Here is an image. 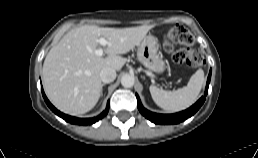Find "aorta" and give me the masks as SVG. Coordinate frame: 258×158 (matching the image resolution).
I'll return each mask as SVG.
<instances>
[{
    "label": "aorta",
    "mask_w": 258,
    "mask_h": 158,
    "mask_svg": "<svg viewBox=\"0 0 258 158\" xmlns=\"http://www.w3.org/2000/svg\"><path fill=\"white\" fill-rule=\"evenodd\" d=\"M134 83H135V79L132 75L125 74L121 78V84L125 88L133 87Z\"/></svg>",
    "instance_id": "obj_1"
}]
</instances>
